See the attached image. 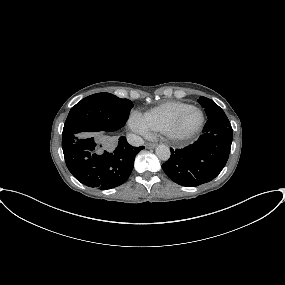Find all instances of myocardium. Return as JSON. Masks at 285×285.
I'll list each match as a JSON object with an SVG mask.
<instances>
[{"label": "myocardium", "mask_w": 285, "mask_h": 285, "mask_svg": "<svg viewBox=\"0 0 285 285\" xmlns=\"http://www.w3.org/2000/svg\"><path fill=\"white\" fill-rule=\"evenodd\" d=\"M195 110L199 112L200 114V122L197 125V127L191 131L188 132H182L181 131V125L188 114V112ZM204 124V113L203 111L195 106H189L188 108L184 109L177 117L176 119L168 126V128L165 130V135L172 141H184L187 140L194 135H196L202 128Z\"/></svg>", "instance_id": "obj_1"}]
</instances>
